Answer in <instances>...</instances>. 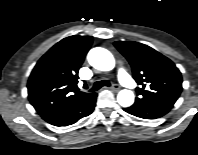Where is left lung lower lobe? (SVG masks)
<instances>
[{"label":"left lung lower lobe","mask_w":198,"mask_h":155,"mask_svg":"<svg viewBox=\"0 0 198 155\" xmlns=\"http://www.w3.org/2000/svg\"><path fill=\"white\" fill-rule=\"evenodd\" d=\"M172 107L166 106H144L139 104H133L131 107L124 108L129 114L144 118V119H156L170 111Z\"/></svg>","instance_id":"obj_1"}]
</instances>
